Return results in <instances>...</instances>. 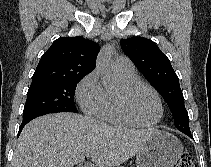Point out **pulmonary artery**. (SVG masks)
<instances>
[{
    "instance_id": "obj_1",
    "label": "pulmonary artery",
    "mask_w": 211,
    "mask_h": 167,
    "mask_svg": "<svg viewBox=\"0 0 211 167\" xmlns=\"http://www.w3.org/2000/svg\"><path fill=\"white\" fill-rule=\"evenodd\" d=\"M114 69L122 73H132L134 72V66L131 60L127 57L120 56L117 57L113 62Z\"/></svg>"
}]
</instances>
